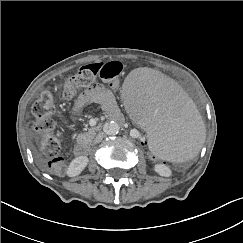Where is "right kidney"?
I'll return each mask as SVG.
<instances>
[{
    "label": "right kidney",
    "mask_w": 243,
    "mask_h": 243,
    "mask_svg": "<svg viewBox=\"0 0 243 243\" xmlns=\"http://www.w3.org/2000/svg\"><path fill=\"white\" fill-rule=\"evenodd\" d=\"M88 161L89 159L86 156H79L74 158L68 167V176L73 177L79 175L87 166Z\"/></svg>",
    "instance_id": "right-kidney-1"
}]
</instances>
